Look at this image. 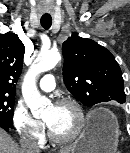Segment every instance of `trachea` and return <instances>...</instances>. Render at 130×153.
Instances as JSON below:
<instances>
[{
    "instance_id": "3493384b",
    "label": "trachea",
    "mask_w": 130,
    "mask_h": 153,
    "mask_svg": "<svg viewBox=\"0 0 130 153\" xmlns=\"http://www.w3.org/2000/svg\"><path fill=\"white\" fill-rule=\"evenodd\" d=\"M52 25V18L51 16H42L41 17V26L45 29L48 30Z\"/></svg>"
}]
</instances>
